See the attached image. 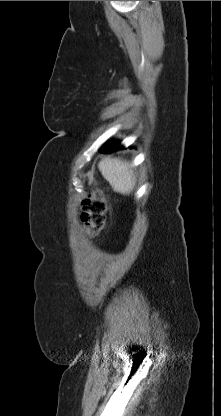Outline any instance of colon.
I'll return each mask as SVG.
<instances>
[{
	"instance_id": "colon-1",
	"label": "colon",
	"mask_w": 221,
	"mask_h": 416,
	"mask_svg": "<svg viewBox=\"0 0 221 416\" xmlns=\"http://www.w3.org/2000/svg\"><path fill=\"white\" fill-rule=\"evenodd\" d=\"M107 203L99 189H93L82 203V222L86 233L97 236L104 228L106 222Z\"/></svg>"
}]
</instances>
